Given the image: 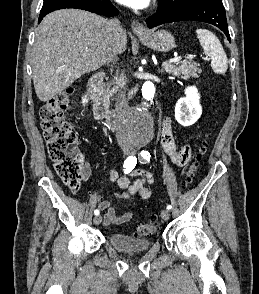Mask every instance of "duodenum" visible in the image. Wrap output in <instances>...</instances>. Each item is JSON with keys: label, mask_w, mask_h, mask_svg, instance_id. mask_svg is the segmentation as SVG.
I'll return each mask as SVG.
<instances>
[{"label": "duodenum", "mask_w": 259, "mask_h": 294, "mask_svg": "<svg viewBox=\"0 0 259 294\" xmlns=\"http://www.w3.org/2000/svg\"><path fill=\"white\" fill-rule=\"evenodd\" d=\"M105 74L98 72L92 75L88 81L87 90L94 102V116L97 120L106 121L112 130L120 125L117 112L111 109L109 98L102 83Z\"/></svg>", "instance_id": "obj_1"}]
</instances>
